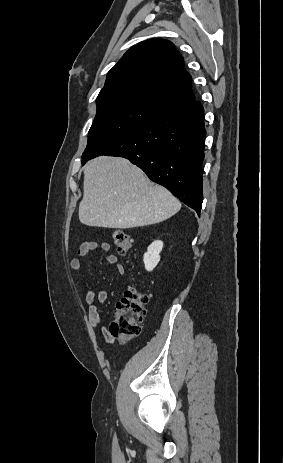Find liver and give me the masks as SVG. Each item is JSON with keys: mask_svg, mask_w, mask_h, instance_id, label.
Instances as JSON below:
<instances>
[{"mask_svg": "<svg viewBox=\"0 0 283 463\" xmlns=\"http://www.w3.org/2000/svg\"><path fill=\"white\" fill-rule=\"evenodd\" d=\"M79 220L92 227L127 229L153 225L176 214L181 203L144 172L119 157L101 156L84 168Z\"/></svg>", "mask_w": 283, "mask_h": 463, "instance_id": "6515ba94", "label": "liver"}]
</instances>
